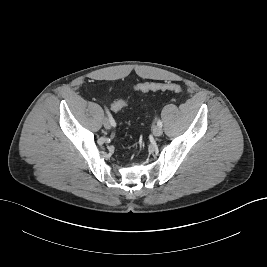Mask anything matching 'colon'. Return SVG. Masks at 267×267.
<instances>
[{"mask_svg":"<svg viewBox=\"0 0 267 267\" xmlns=\"http://www.w3.org/2000/svg\"><path fill=\"white\" fill-rule=\"evenodd\" d=\"M138 91L149 92V91H174L180 92L181 86L175 83H138L134 86ZM127 102L116 101L111 104V109L113 111H119L127 107Z\"/></svg>","mask_w":267,"mask_h":267,"instance_id":"1","label":"colon"}]
</instances>
